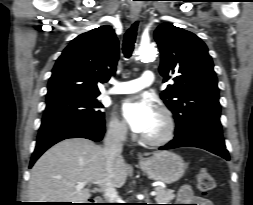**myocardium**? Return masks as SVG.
Instances as JSON below:
<instances>
[{
    "instance_id": "obj_1",
    "label": "myocardium",
    "mask_w": 253,
    "mask_h": 205,
    "mask_svg": "<svg viewBox=\"0 0 253 205\" xmlns=\"http://www.w3.org/2000/svg\"><path fill=\"white\" fill-rule=\"evenodd\" d=\"M157 113L163 121L164 128L162 133L155 137H148L145 135L141 137L142 142L150 146H160L170 142L174 138L176 132V121L171 110L161 106L157 109Z\"/></svg>"
}]
</instances>
